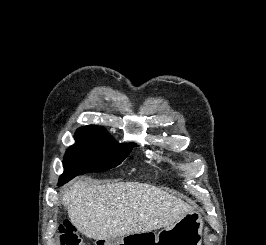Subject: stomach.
Returning a JSON list of instances; mask_svg holds the SVG:
<instances>
[{
    "label": "stomach",
    "instance_id": "stomach-1",
    "mask_svg": "<svg viewBox=\"0 0 266 245\" xmlns=\"http://www.w3.org/2000/svg\"><path fill=\"white\" fill-rule=\"evenodd\" d=\"M203 221L200 213H186L180 221H176L174 225L161 229L157 235L152 231L147 233H128V237H121L119 245L124 242H135V245H143L142 241H146V245L151 242L154 245H202ZM105 245H113L107 243Z\"/></svg>",
    "mask_w": 266,
    "mask_h": 245
}]
</instances>
